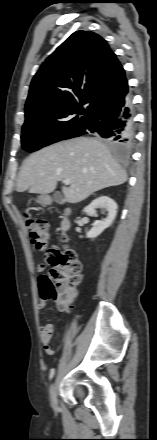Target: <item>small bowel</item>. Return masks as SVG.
I'll return each mask as SVG.
<instances>
[{
	"label": "small bowel",
	"mask_w": 157,
	"mask_h": 440,
	"mask_svg": "<svg viewBox=\"0 0 157 440\" xmlns=\"http://www.w3.org/2000/svg\"><path fill=\"white\" fill-rule=\"evenodd\" d=\"M37 269H38V271L41 272L45 269V265L39 264ZM45 307H46V303L44 301H41L38 304L39 310H43V309H45ZM53 330H54V327L52 324H45L39 328L40 339L43 344L44 350L48 355L54 354V351L51 346V339L53 337Z\"/></svg>",
	"instance_id": "c3829d8e"
}]
</instances>
